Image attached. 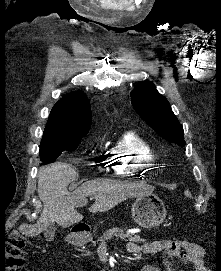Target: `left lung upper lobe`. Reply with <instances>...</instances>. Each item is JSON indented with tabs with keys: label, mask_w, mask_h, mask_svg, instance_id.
<instances>
[{
	"label": "left lung upper lobe",
	"mask_w": 221,
	"mask_h": 271,
	"mask_svg": "<svg viewBox=\"0 0 221 271\" xmlns=\"http://www.w3.org/2000/svg\"><path fill=\"white\" fill-rule=\"evenodd\" d=\"M136 112L164 139L185 145L183 127L151 81H142L131 92Z\"/></svg>",
	"instance_id": "left-lung-upper-lobe-1"
}]
</instances>
